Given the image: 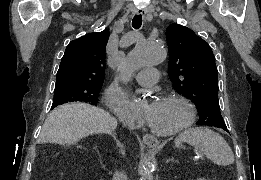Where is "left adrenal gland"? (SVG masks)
Instances as JSON below:
<instances>
[{"mask_svg":"<svg viewBox=\"0 0 261 180\" xmlns=\"http://www.w3.org/2000/svg\"><path fill=\"white\" fill-rule=\"evenodd\" d=\"M167 162H174V158H169V160H167Z\"/></svg>","mask_w":261,"mask_h":180,"instance_id":"a2214340","label":"left adrenal gland"}]
</instances>
